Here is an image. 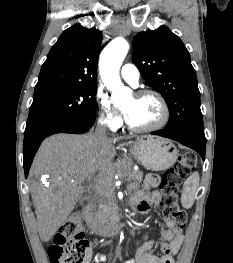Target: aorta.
<instances>
[{"label": "aorta", "instance_id": "obj_1", "mask_svg": "<svg viewBox=\"0 0 233 263\" xmlns=\"http://www.w3.org/2000/svg\"><path fill=\"white\" fill-rule=\"evenodd\" d=\"M129 50V44L121 37L112 40L103 50L100 58V75L104 85L112 92L115 102H123L131 95L119 76L120 66Z\"/></svg>", "mask_w": 233, "mask_h": 263}]
</instances>
